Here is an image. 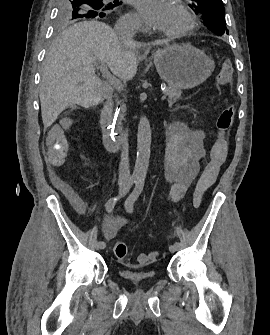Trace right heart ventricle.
<instances>
[{
	"instance_id": "e07e8e85",
	"label": "right heart ventricle",
	"mask_w": 270,
	"mask_h": 335,
	"mask_svg": "<svg viewBox=\"0 0 270 335\" xmlns=\"http://www.w3.org/2000/svg\"><path fill=\"white\" fill-rule=\"evenodd\" d=\"M163 78H172V77H163Z\"/></svg>"
}]
</instances>
